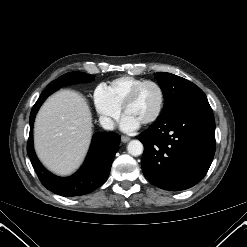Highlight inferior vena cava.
<instances>
[{
	"label": "inferior vena cava",
	"mask_w": 247,
	"mask_h": 247,
	"mask_svg": "<svg viewBox=\"0 0 247 247\" xmlns=\"http://www.w3.org/2000/svg\"><path fill=\"white\" fill-rule=\"evenodd\" d=\"M100 124L101 126L106 129V130H113L114 128V122L111 118L109 117H105V116H101L99 118Z\"/></svg>",
	"instance_id": "obj_1"
}]
</instances>
